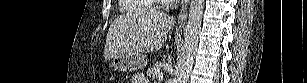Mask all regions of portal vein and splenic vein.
<instances>
[{"mask_svg": "<svg viewBox=\"0 0 307 83\" xmlns=\"http://www.w3.org/2000/svg\"><path fill=\"white\" fill-rule=\"evenodd\" d=\"M158 78L159 79L163 78V74H158Z\"/></svg>", "mask_w": 307, "mask_h": 83, "instance_id": "obj_1", "label": "portal vein and splenic vein"}]
</instances>
